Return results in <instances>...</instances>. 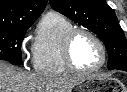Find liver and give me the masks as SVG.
I'll return each instance as SVG.
<instances>
[{"label": "liver", "instance_id": "6515ba94", "mask_svg": "<svg viewBox=\"0 0 127 92\" xmlns=\"http://www.w3.org/2000/svg\"><path fill=\"white\" fill-rule=\"evenodd\" d=\"M82 76L36 75L0 61V92H71Z\"/></svg>", "mask_w": 127, "mask_h": 92}]
</instances>
